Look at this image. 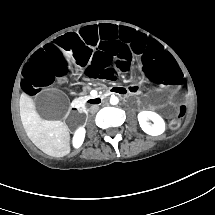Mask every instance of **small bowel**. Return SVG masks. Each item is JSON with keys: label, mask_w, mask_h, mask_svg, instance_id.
Returning a JSON list of instances; mask_svg holds the SVG:
<instances>
[{"label": "small bowel", "mask_w": 215, "mask_h": 215, "mask_svg": "<svg viewBox=\"0 0 215 215\" xmlns=\"http://www.w3.org/2000/svg\"><path fill=\"white\" fill-rule=\"evenodd\" d=\"M129 94H134L137 92L135 87L126 88Z\"/></svg>", "instance_id": "small-bowel-1"}]
</instances>
